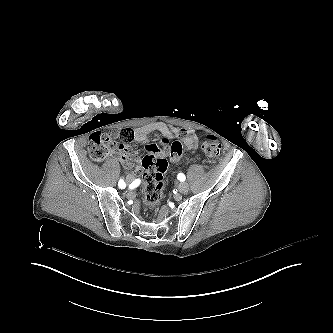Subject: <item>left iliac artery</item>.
<instances>
[{
	"label": "left iliac artery",
	"mask_w": 333,
	"mask_h": 333,
	"mask_svg": "<svg viewBox=\"0 0 333 333\" xmlns=\"http://www.w3.org/2000/svg\"><path fill=\"white\" fill-rule=\"evenodd\" d=\"M177 178H178V180H180V181H185V175L182 174V173L178 174Z\"/></svg>",
	"instance_id": "left-iliac-artery-1"
}]
</instances>
